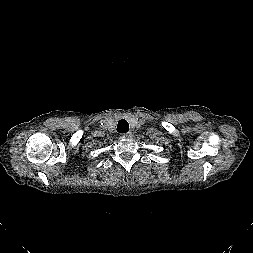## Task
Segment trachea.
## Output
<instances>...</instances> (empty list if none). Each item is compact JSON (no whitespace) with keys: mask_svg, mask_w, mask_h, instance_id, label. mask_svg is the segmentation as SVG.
Segmentation results:
<instances>
[{"mask_svg":"<svg viewBox=\"0 0 253 253\" xmlns=\"http://www.w3.org/2000/svg\"><path fill=\"white\" fill-rule=\"evenodd\" d=\"M119 133H126L129 130V124L125 119H121L118 122L117 129Z\"/></svg>","mask_w":253,"mask_h":253,"instance_id":"3493384b","label":"trachea"}]
</instances>
